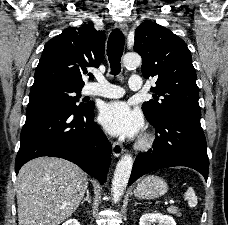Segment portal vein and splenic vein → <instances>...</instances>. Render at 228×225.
<instances>
[{
  "label": "portal vein and splenic vein",
  "mask_w": 228,
  "mask_h": 225,
  "mask_svg": "<svg viewBox=\"0 0 228 225\" xmlns=\"http://www.w3.org/2000/svg\"><path fill=\"white\" fill-rule=\"evenodd\" d=\"M175 204V201L174 200H167L165 203H164V206L165 207H170V205H174Z\"/></svg>",
  "instance_id": "portal-vein-and-splenic-vein-1"
}]
</instances>
